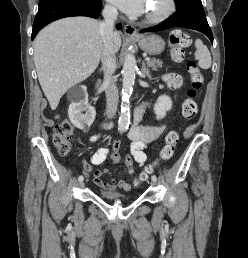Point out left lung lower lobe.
<instances>
[{"instance_id": "obj_1", "label": "left lung lower lobe", "mask_w": 248, "mask_h": 258, "mask_svg": "<svg viewBox=\"0 0 248 258\" xmlns=\"http://www.w3.org/2000/svg\"><path fill=\"white\" fill-rule=\"evenodd\" d=\"M173 27H183L200 31L213 43V34L208 25L203 8H194L188 11H176L165 21L157 26L147 28L146 31L157 32ZM140 32H144V30H141Z\"/></svg>"}]
</instances>
